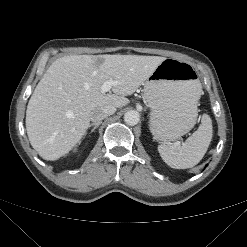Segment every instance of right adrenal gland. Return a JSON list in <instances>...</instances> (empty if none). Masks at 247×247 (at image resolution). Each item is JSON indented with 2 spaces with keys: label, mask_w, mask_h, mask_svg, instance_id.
I'll list each match as a JSON object with an SVG mask.
<instances>
[{
  "label": "right adrenal gland",
  "mask_w": 247,
  "mask_h": 247,
  "mask_svg": "<svg viewBox=\"0 0 247 247\" xmlns=\"http://www.w3.org/2000/svg\"><path fill=\"white\" fill-rule=\"evenodd\" d=\"M100 124H101V123H92V124H90V125H89V129H90L91 127H93V128L91 129L90 134H92V133L96 130V128L99 127Z\"/></svg>",
  "instance_id": "obj_1"
}]
</instances>
